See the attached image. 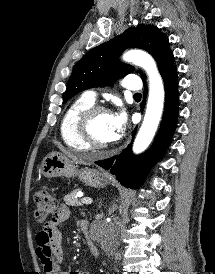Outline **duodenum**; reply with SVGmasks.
<instances>
[{"label":"duodenum","mask_w":215,"mask_h":274,"mask_svg":"<svg viewBox=\"0 0 215 274\" xmlns=\"http://www.w3.org/2000/svg\"><path fill=\"white\" fill-rule=\"evenodd\" d=\"M82 230H83V233L85 235L86 243H87L90 251L92 252V254L95 257H98L99 252H98L97 247L95 246V244L92 241L91 235L89 234V232L87 231V229L85 227H83Z\"/></svg>","instance_id":"obj_1"}]
</instances>
